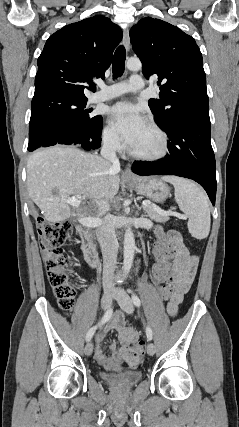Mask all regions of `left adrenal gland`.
Returning <instances> with one entry per match:
<instances>
[{
    "label": "left adrenal gland",
    "instance_id": "1",
    "mask_svg": "<svg viewBox=\"0 0 239 427\" xmlns=\"http://www.w3.org/2000/svg\"><path fill=\"white\" fill-rule=\"evenodd\" d=\"M137 208H138L139 211L141 210V207L137 206Z\"/></svg>",
    "mask_w": 239,
    "mask_h": 427
}]
</instances>
